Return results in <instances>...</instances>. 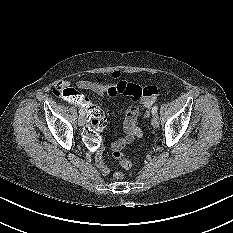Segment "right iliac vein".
<instances>
[{
  "mask_svg": "<svg viewBox=\"0 0 233 233\" xmlns=\"http://www.w3.org/2000/svg\"><path fill=\"white\" fill-rule=\"evenodd\" d=\"M86 122V119L84 116H80L79 119H78V124L79 126H83Z\"/></svg>",
  "mask_w": 233,
  "mask_h": 233,
  "instance_id": "obj_1",
  "label": "right iliac vein"
}]
</instances>
